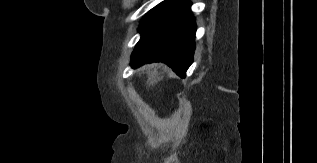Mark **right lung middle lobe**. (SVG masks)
I'll list each match as a JSON object with an SVG mask.
<instances>
[{
    "mask_svg": "<svg viewBox=\"0 0 317 163\" xmlns=\"http://www.w3.org/2000/svg\"><path fill=\"white\" fill-rule=\"evenodd\" d=\"M175 4L176 2L164 1L158 4L153 9H151L146 15V17L142 20L139 31L143 32L146 29H148L157 20H159L166 12H168Z\"/></svg>",
    "mask_w": 317,
    "mask_h": 163,
    "instance_id": "right-lung-middle-lobe-1",
    "label": "right lung middle lobe"
}]
</instances>
